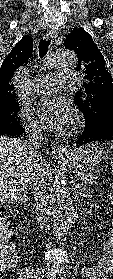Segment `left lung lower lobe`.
I'll use <instances>...</instances> for the list:
<instances>
[{"label":"left lung lower lobe","mask_w":113,"mask_h":279,"mask_svg":"<svg viewBox=\"0 0 113 279\" xmlns=\"http://www.w3.org/2000/svg\"><path fill=\"white\" fill-rule=\"evenodd\" d=\"M110 140H113V116L101 114L95 126H91L85 121L84 131L76 141V144L77 147H80L91 142Z\"/></svg>","instance_id":"left-lung-lower-lobe-1"}]
</instances>
